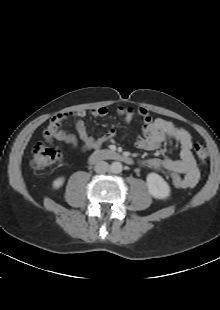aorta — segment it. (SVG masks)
Instances as JSON below:
<instances>
[{"label":"aorta","instance_id":"aorta-1","mask_svg":"<svg viewBox=\"0 0 220 310\" xmlns=\"http://www.w3.org/2000/svg\"><path fill=\"white\" fill-rule=\"evenodd\" d=\"M110 171L115 174L120 173L122 171V164L120 162H113L110 165Z\"/></svg>","mask_w":220,"mask_h":310}]
</instances>
